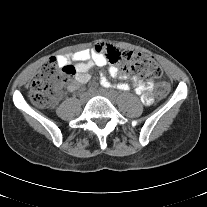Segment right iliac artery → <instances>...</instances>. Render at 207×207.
<instances>
[{
	"label": "right iliac artery",
	"mask_w": 207,
	"mask_h": 207,
	"mask_svg": "<svg viewBox=\"0 0 207 207\" xmlns=\"http://www.w3.org/2000/svg\"><path fill=\"white\" fill-rule=\"evenodd\" d=\"M100 83L102 86H104L106 88H108L110 85V83L105 78H101ZM89 90H91V88Z\"/></svg>",
	"instance_id": "right-iliac-artery-1"
}]
</instances>
